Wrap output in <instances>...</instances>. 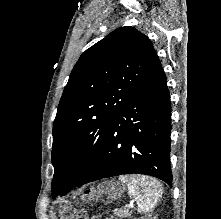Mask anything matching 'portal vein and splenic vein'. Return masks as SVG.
<instances>
[{
	"label": "portal vein and splenic vein",
	"mask_w": 221,
	"mask_h": 219,
	"mask_svg": "<svg viewBox=\"0 0 221 219\" xmlns=\"http://www.w3.org/2000/svg\"><path fill=\"white\" fill-rule=\"evenodd\" d=\"M126 206H127L128 208H132V207H133L131 203H130V204H127Z\"/></svg>",
	"instance_id": "1"
}]
</instances>
